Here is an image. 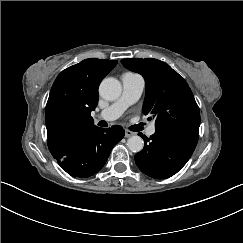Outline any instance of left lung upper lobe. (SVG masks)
I'll return each mask as SVG.
<instances>
[{
    "label": "left lung upper lobe",
    "mask_w": 243,
    "mask_h": 243,
    "mask_svg": "<svg viewBox=\"0 0 243 243\" xmlns=\"http://www.w3.org/2000/svg\"><path fill=\"white\" fill-rule=\"evenodd\" d=\"M121 62L127 69L144 77L146 94L143 113L156 119V130L199 132V107L183 77L165 62L153 58L122 59Z\"/></svg>",
    "instance_id": "1"
}]
</instances>
